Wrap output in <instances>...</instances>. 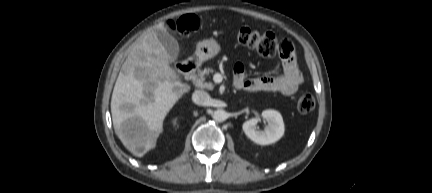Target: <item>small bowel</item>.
<instances>
[{"instance_id": "small-bowel-1", "label": "small bowel", "mask_w": 432, "mask_h": 193, "mask_svg": "<svg viewBox=\"0 0 432 193\" xmlns=\"http://www.w3.org/2000/svg\"><path fill=\"white\" fill-rule=\"evenodd\" d=\"M288 42V41H287ZM287 55H281L283 72L279 75H267L255 78H246L245 67L238 62L234 65V80L237 88L247 91L279 92L284 95L294 94L304 82V77L294 56L293 47Z\"/></svg>"}]
</instances>
